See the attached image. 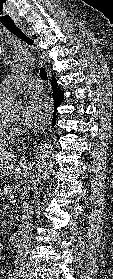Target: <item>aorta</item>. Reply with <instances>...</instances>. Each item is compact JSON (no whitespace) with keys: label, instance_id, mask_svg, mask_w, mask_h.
I'll return each instance as SVG.
<instances>
[{"label":"aorta","instance_id":"aorta-1","mask_svg":"<svg viewBox=\"0 0 113 279\" xmlns=\"http://www.w3.org/2000/svg\"><path fill=\"white\" fill-rule=\"evenodd\" d=\"M32 65V60L29 55H17L13 61V68L17 71H22ZM19 101H16L15 107L19 106ZM53 169V149L51 144L47 142L41 143L36 155L35 164V180L41 184L49 178V174Z\"/></svg>","mask_w":113,"mask_h":279}]
</instances>
